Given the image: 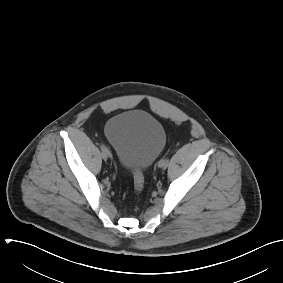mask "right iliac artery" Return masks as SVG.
<instances>
[{"label":"right iliac artery","mask_w":283,"mask_h":283,"mask_svg":"<svg viewBox=\"0 0 283 283\" xmlns=\"http://www.w3.org/2000/svg\"><path fill=\"white\" fill-rule=\"evenodd\" d=\"M101 150H102V152H106V153H109L110 154V152H109V150L106 148V146L105 145H101Z\"/></svg>","instance_id":"right-iliac-artery-1"}]
</instances>
